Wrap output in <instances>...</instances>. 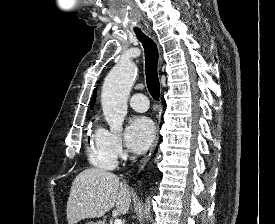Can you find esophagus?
Instances as JSON below:
<instances>
[{
  "mask_svg": "<svg viewBox=\"0 0 275 224\" xmlns=\"http://www.w3.org/2000/svg\"><path fill=\"white\" fill-rule=\"evenodd\" d=\"M160 63H161V61H160ZM160 119H161V114L158 115L157 120H156L157 129L159 128ZM158 139H159V135L157 134V136H156V138H155V140H154V142H153L150 150L144 156V158L141 160L140 165H139L140 168H143L146 165V163L149 161V159L151 158V156L154 153V150L156 148V145L158 143Z\"/></svg>",
  "mask_w": 275,
  "mask_h": 224,
  "instance_id": "esophagus-1",
  "label": "esophagus"
}]
</instances>
